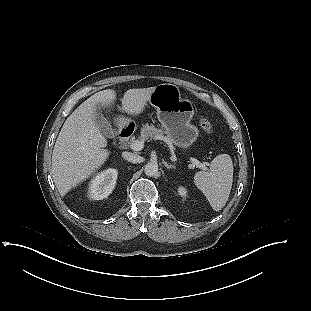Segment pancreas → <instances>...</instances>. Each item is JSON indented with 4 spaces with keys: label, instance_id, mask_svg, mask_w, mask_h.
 <instances>
[{
    "label": "pancreas",
    "instance_id": "obj_1",
    "mask_svg": "<svg viewBox=\"0 0 311 311\" xmlns=\"http://www.w3.org/2000/svg\"><path fill=\"white\" fill-rule=\"evenodd\" d=\"M140 141L144 140H150V139H160L165 142L172 143L171 140H169L166 136L163 135V131L161 129L155 128L153 125H144L143 128L141 129V136H140ZM133 141H130L132 143Z\"/></svg>",
    "mask_w": 311,
    "mask_h": 311
}]
</instances>
